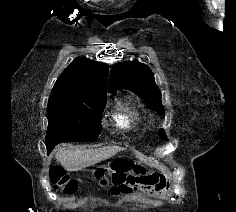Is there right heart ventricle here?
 <instances>
[{
	"mask_svg": "<svg viewBox=\"0 0 236 212\" xmlns=\"http://www.w3.org/2000/svg\"><path fill=\"white\" fill-rule=\"evenodd\" d=\"M113 118L118 127L128 128L135 121L136 112L130 103L121 101L116 106Z\"/></svg>",
	"mask_w": 236,
	"mask_h": 212,
	"instance_id": "obj_1",
	"label": "right heart ventricle"
}]
</instances>
